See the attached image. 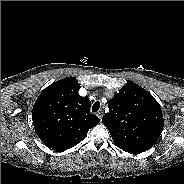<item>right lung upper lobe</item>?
I'll list each match as a JSON object with an SVG mask.
<instances>
[{"label": "right lung upper lobe", "mask_w": 184, "mask_h": 184, "mask_svg": "<svg viewBox=\"0 0 184 184\" xmlns=\"http://www.w3.org/2000/svg\"><path fill=\"white\" fill-rule=\"evenodd\" d=\"M79 88L74 77H66L52 83L37 98L32 119L36 134L46 146L72 148L100 122L90 113L89 98L78 94Z\"/></svg>", "instance_id": "1"}]
</instances>
